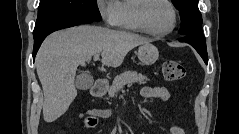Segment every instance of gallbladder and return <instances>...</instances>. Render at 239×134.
<instances>
[{"mask_svg":"<svg viewBox=\"0 0 239 134\" xmlns=\"http://www.w3.org/2000/svg\"><path fill=\"white\" fill-rule=\"evenodd\" d=\"M75 84L80 90L89 89L93 84V77L87 74H81L77 76Z\"/></svg>","mask_w":239,"mask_h":134,"instance_id":"gallbladder-1","label":"gallbladder"}]
</instances>
